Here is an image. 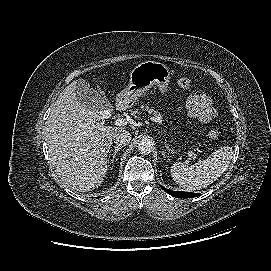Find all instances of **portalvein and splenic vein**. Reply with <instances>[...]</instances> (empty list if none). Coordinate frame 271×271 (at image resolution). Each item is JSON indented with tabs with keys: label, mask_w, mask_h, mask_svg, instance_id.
Segmentation results:
<instances>
[{
	"label": "portal vein and splenic vein",
	"mask_w": 271,
	"mask_h": 271,
	"mask_svg": "<svg viewBox=\"0 0 271 271\" xmlns=\"http://www.w3.org/2000/svg\"><path fill=\"white\" fill-rule=\"evenodd\" d=\"M127 123H128V120L125 118H118L115 120L116 126H125V125H127Z\"/></svg>",
	"instance_id": "1"
}]
</instances>
